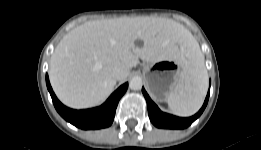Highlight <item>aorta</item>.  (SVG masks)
Instances as JSON below:
<instances>
[{
    "label": "aorta",
    "instance_id": "obj_1",
    "mask_svg": "<svg viewBox=\"0 0 261 150\" xmlns=\"http://www.w3.org/2000/svg\"><path fill=\"white\" fill-rule=\"evenodd\" d=\"M142 85L143 81L140 77H133L129 82V88L134 91L140 90Z\"/></svg>",
    "mask_w": 261,
    "mask_h": 150
}]
</instances>
